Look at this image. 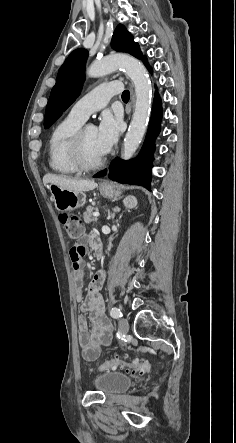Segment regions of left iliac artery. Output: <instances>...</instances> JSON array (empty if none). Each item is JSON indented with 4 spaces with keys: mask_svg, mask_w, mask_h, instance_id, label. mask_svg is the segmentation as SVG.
Instances as JSON below:
<instances>
[{
    "mask_svg": "<svg viewBox=\"0 0 236 443\" xmlns=\"http://www.w3.org/2000/svg\"><path fill=\"white\" fill-rule=\"evenodd\" d=\"M110 315L113 317V318H115V319H118V318H121L123 315H122V312L120 311V309H118L117 307H113L112 309H111V311H110Z\"/></svg>",
    "mask_w": 236,
    "mask_h": 443,
    "instance_id": "44dca946",
    "label": "left iliac artery"
}]
</instances>
